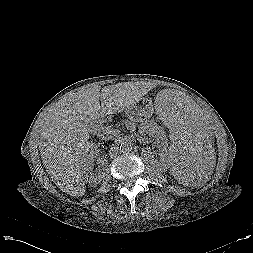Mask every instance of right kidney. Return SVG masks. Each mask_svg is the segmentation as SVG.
Masks as SVG:
<instances>
[{
	"label": "right kidney",
	"instance_id": "1",
	"mask_svg": "<svg viewBox=\"0 0 253 253\" xmlns=\"http://www.w3.org/2000/svg\"><path fill=\"white\" fill-rule=\"evenodd\" d=\"M86 150L87 154L83 165L85 180L91 187H96L101 180L100 177L93 173L94 158L98 153L97 146L93 142H88Z\"/></svg>",
	"mask_w": 253,
	"mask_h": 253
}]
</instances>
